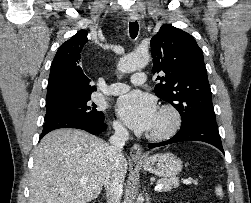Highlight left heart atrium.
<instances>
[{"instance_id": "obj_1", "label": "left heart atrium", "mask_w": 251, "mask_h": 203, "mask_svg": "<svg viewBox=\"0 0 251 203\" xmlns=\"http://www.w3.org/2000/svg\"><path fill=\"white\" fill-rule=\"evenodd\" d=\"M117 111L125 123L134 131H150L158 112L154 98L148 94L133 91L117 102Z\"/></svg>"}]
</instances>
